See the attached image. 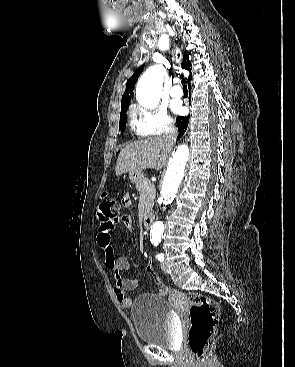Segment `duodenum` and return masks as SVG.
Here are the masks:
<instances>
[{
  "mask_svg": "<svg viewBox=\"0 0 295 367\" xmlns=\"http://www.w3.org/2000/svg\"><path fill=\"white\" fill-rule=\"evenodd\" d=\"M153 215L150 214V213H147L144 215V218H143V225L146 229L150 228L152 222H153Z\"/></svg>",
  "mask_w": 295,
  "mask_h": 367,
  "instance_id": "obj_1",
  "label": "duodenum"
}]
</instances>
